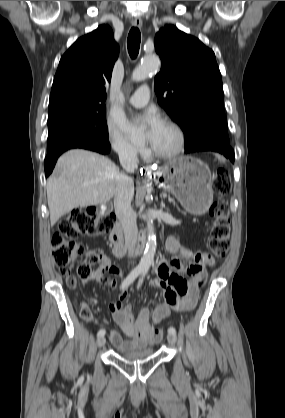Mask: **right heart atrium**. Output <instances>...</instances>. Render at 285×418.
<instances>
[{
	"mask_svg": "<svg viewBox=\"0 0 285 418\" xmlns=\"http://www.w3.org/2000/svg\"><path fill=\"white\" fill-rule=\"evenodd\" d=\"M107 142L110 148L120 157L124 159L136 158L143 148L137 147L130 142L125 133L114 126H109L107 131Z\"/></svg>",
	"mask_w": 285,
	"mask_h": 418,
	"instance_id": "1",
	"label": "right heart atrium"
}]
</instances>
